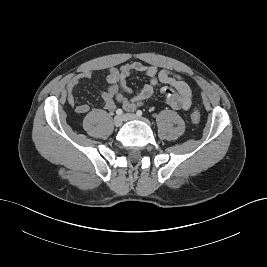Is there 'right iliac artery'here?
<instances>
[{
    "label": "right iliac artery",
    "instance_id": "1",
    "mask_svg": "<svg viewBox=\"0 0 267 267\" xmlns=\"http://www.w3.org/2000/svg\"><path fill=\"white\" fill-rule=\"evenodd\" d=\"M116 114L117 115H122L123 114V110L122 109H117L116 110Z\"/></svg>",
    "mask_w": 267,
    "mask_h": 267
}]
</instances>
